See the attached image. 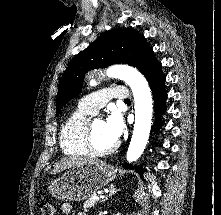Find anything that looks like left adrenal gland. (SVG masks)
I'll return each instance as SVG.
<instances>
[{"mask_svg":"<svg viewBox=\"0 0 221 215\" xmlns=\"http://www.w3.org/2000/svg\"><path fill=\"white\" fill-rule=\"evenodd\" d=\"M119 191H120V189L115 188V186L113 184H111L109 187V194L101 202H105L106 200H108V198L112 197L113 195H115Z\"/></svg>","mask_w":221,"mask_h":215,"instance_id":"obj_1","label":"left adrenal gland"}]
</instances>
